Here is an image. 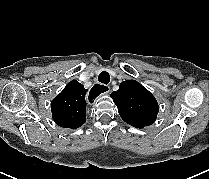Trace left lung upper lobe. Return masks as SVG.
Wrapping results in <instances>:
<instances>
[{
    "mask_svg": "<svg viewBox=\"0 0 209 179\" xmlns=\"http://www.w3.org/2000/svg\"><path fill=\"white\" fill-rule=\"evenodd\" d=\"M121 118L136 128L151 125L156 120L159 106L155 97L135 80L124 81L111 93Z\"/></svg>",
    "mask_w": 209,
    "mask_h": 179,
    "instance_id": "1",
    "label": "left lung upper lobe"
}]
</instances>
